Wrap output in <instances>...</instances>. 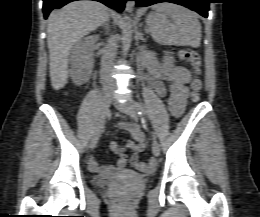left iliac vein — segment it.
Listing matches in <instances>:
<instances>
[{"mask_svg":"<svg viewBox=\"0 0 260 217\" xmlns=\"http://www.w3.org/2000/svg\"><path fill=\"white\" fill-rule=\"evenodd\" d=\"M114 104L116 108L121 112L129 115L135 120L138 119L137 111L131 102H124V103L115 102ZM152 153L154 156H158L160 154V146L156 140H153L152 142Z\"/></svg>","mask_w":260,"mask_h":217,"instance_id":"left-iliac-vein-1","label":"left iliac vein"}]
</instances>
